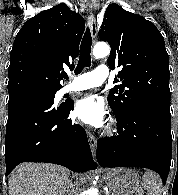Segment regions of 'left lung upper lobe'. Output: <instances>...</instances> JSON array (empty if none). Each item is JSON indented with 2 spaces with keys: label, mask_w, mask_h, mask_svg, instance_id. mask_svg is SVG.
Listing matches in <instances>:
<instances>
[{
  "label": "left lung upper lobe",
  "mask_w": 178,
  "mask_h": 195,
  "mask_svg": "<svg viewBox=\"0 0 178 195\" xmlns=\"http://www.w3.org/2000/svg\"><path fill=\"white\" fill-rule=\"evenodd\" d=\"M99 38L110 44L109 67L121 68L114 79L119 84L108 96L115 116L146 110L171 117L169 56L155 25L111 4L105 11Z\"/></svg>",
  "instance_id": "left-lung-upper-lobe-1"
}]
</instances>
